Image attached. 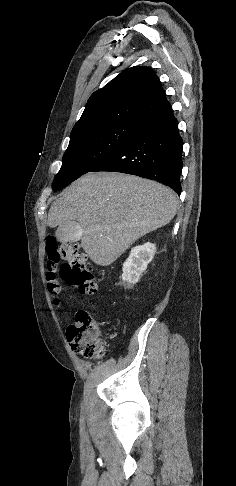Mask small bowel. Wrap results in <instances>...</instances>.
I'll list each match as a JSON object with an SVG mask.
<instances>
[{"mask_svg":"<svg viewBox=\"0 0 236 486\" xmlns=\"http://www.w3.org/2000/svg\"><path fill=\"white\" fill-rule=\"evenodd\" d=\"M92 308L94 309V308H96V306L95 305H92Z\"/></svg>","mask_w":236,"mask_h":486,"instance_id":"1","label":"small bowel"}]
</instances>
